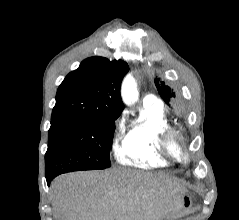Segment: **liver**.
<instances>
[{"instance_id": "liver-1", "label": "liver", "mask_w": 239, "mask_h": 220, "mask_svg": "<svg viewBox=\"0 0 239 220\" xmlns=\"http://www.w3.org/2000/svg\"><path fill=\"white\" fill-rule=\"evenodd\" d=\"M186 192L164 175L116 168L61 175L50 200L58 220H160L181 207Z\"/></svg>"}]
</instances>
